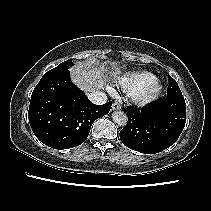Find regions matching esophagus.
<instances>
[{
	"mask_svg": "<svg viewBox=\"0 0 211 211\" xmlns=\"http://www.w3.org/2000/svg\"><path fill=\"white\" fill-rule=\"evenodd\" d=\"M112 109H113V110H120V109H121V104H120V102L115 101V102L112 104Z\"/></svg>",
	"mask_w": 211,
	"mask_h": 211,
	"instance_id": "1",
	"label": "esophagus"
}]
</instances>
